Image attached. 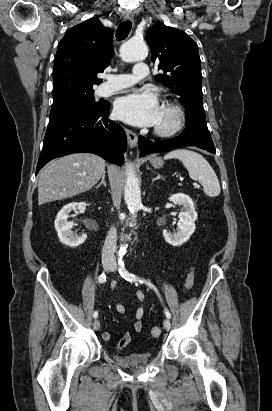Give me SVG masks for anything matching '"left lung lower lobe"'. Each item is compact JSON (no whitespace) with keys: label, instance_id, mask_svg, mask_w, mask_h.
<instances>
[{"label":"left lung lower lobe","instance_id":"1","mask_svg":"<svg viewBox=\"0 0 272 411\" xmlns=\"http://www.w3.org/2000/svg\"><path fill=\"white\" fill-rule=\"evenodd\" d=\"M138 146L142 156L184 146H196L215 154V147L207 125L186 126L179 136L162 141H152L140 136Z\"/></svg>","mask_w":272,"mask_h":411}]
</instances>
